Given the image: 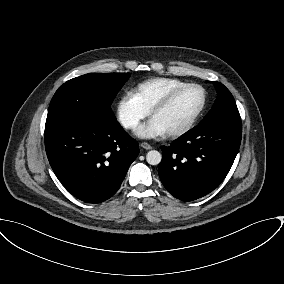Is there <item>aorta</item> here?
<instances>
[{"mask_svg":"<svg viewBox=\"0 0 284 284\" xmlns=\"http://www.w3.org/2000/svg\"><path fill=\"white\" fill-rule=\"evenodd\" d=\"M162 155L157 150H151L146 155V160L150 165H158L161 162Z\"/></svg>","mask_w":284,"mask_h":284,"instance_id":"1","label":"aorta"}]
</instances>
